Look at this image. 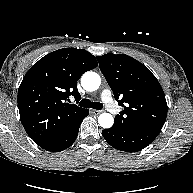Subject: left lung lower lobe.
Segmentation results:
<instances>
[{"mask_svg":"<svg viewBox=\"0 0 193 193\" xmlns=\"http://www.w3.org/2000/svg\"><path fill=\"white\" fill-rule=\"evenodd\" d=\"M159 133V130L125 131L114 125L102 131L103 137L112 147L126 152L142 150L147 147Z\"/></svg>","mask_w":193,"mask_h":193,"instance_id":"left-lung-lower-lobe-1","label":"left lung lower lobe"}]
</instances>
